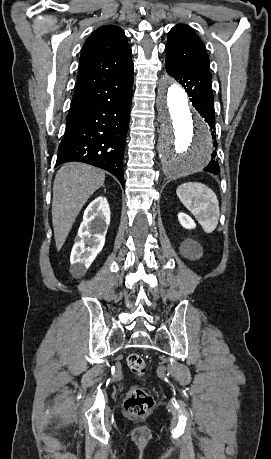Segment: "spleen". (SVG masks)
Segmentation results:
<instances>
[{"instance_id": "spleen-1", "label": "spleen", "mask_w": 271, "mask_h": 459, "mask_svg": "<svg viewBox=\"0 0 271 459\" xmlns=\"http://www.w3.org/2000/svg\"><path fill=\"white\" fill-rule=\"evenodd\" d=\"M182 204L194 214L196 220L201 224L206 233H211L218 226L219 222V202L216 194L204 186V184H182L177 188Z\"/></svg>"}]
</instances>
